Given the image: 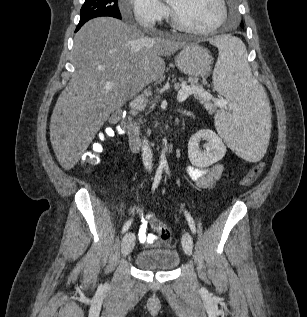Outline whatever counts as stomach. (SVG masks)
Returning <instances> with one entry per match:
<instances>
[{
  "instance_id": "0dacf381",
  "label": "stomach",
  "mask_w": 307,
  "mask_h": 317,
  "mask_svg": "<svg viewBox=\"0 0 307 317\" xmlns=\"http://www.w3.org/2000/svg\"><path fill=\"white\" fill-rule=\"evenodd\" d=\"M175 64L184 74L192 78L207 77L211 71L210 52L196 44H188L175 57Z\"/></svg>"
}]
</instances>
